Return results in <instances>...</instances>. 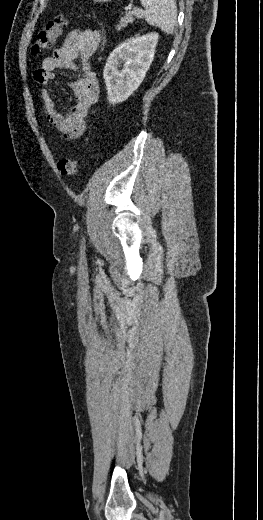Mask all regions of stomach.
<instances>
[{
  "label": "stomach",
  "mask_w": 263,
  "mask_h": 520,
  "mask_svg": "<svg viewBox=\"0 0 263 520\" xmlns=\"http://www.w3.org/2000/svg\"><path fill=\"white\" fill-rule=\"evenodd\" d=\"M93 1L102 3V2H108V1H111V0H93Z\"/></svg>",
  "instance_id": "obj_1"
}]
</instances>
